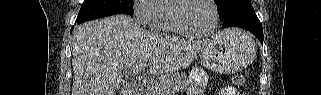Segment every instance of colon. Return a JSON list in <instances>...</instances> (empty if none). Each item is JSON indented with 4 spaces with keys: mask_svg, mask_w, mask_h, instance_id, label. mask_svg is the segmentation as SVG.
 Segmentation results:
<instances>
[{
    "mask_svg": "<svg viewBox=\"0 0 321 95\" xmlns=\"http://www.w3.org/2000/svg\"><path fill=\"white\" fill-rule=\"evenodd\" d=\"M245 82V78L243 75L241 74H236L233 76V83L236 85V86H242Z\"/></svg>",
    "mask_w": 321,
    "mask_h": 95,
    "instance_id": "1",
    "label": "colon"
}]
</instances>
